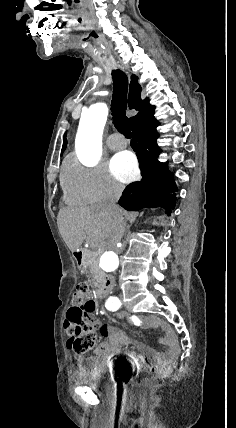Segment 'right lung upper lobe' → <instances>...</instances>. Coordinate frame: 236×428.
<instances>
[{"mask_svg": "<svg viewBox=\"0 0 236 428\" xmlns=\"http://www.w3.org/2000/svg\"><path fill=\"white\" fill-rule=\"evenodd\" d=\"M138 77L136 75L131 76L130 88H129V98L128 105L130 109L135 108L138 110V114L129 119L130 126L133 127L137 122L142 120L144 117L152 114L154 112V106L149 104V100L146 98L144 100L141 99V86L137 82ZM67 141L64 138L63 148L64 151L66 147Z\"/></svg>", "mask_w": 236, "mask_h": 428, "instance_id": "right-lung-upper-lobe-1", "label": "right lung upper lobe"}]
</instances>
